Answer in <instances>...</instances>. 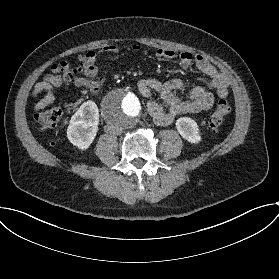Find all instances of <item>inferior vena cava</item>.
Returning a JSON list of instances; mask_svg holds the SVG:
<instances>
[{
  "label": "inferior vena cava",
  "mask_w": 279,
  "mask_h": 279,
  "mask_svg": "<svg viewBox=\"0 0 279 279\" xmlns=\"http://www.w3.org/2000/svg\"><path fill=\"white\" fill-rule=\"evenodd\" d=\"M107 132L112 135H121L123 131L121 128L109 126Z\"/></svg>",
  "instance_id": "1"
}]
</instances>
